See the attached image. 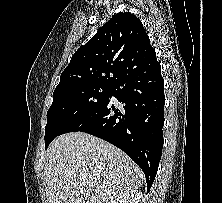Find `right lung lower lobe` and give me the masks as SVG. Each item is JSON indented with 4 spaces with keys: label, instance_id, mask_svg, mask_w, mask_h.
Instances as JSON below:
<instances>
[{
    "label": "right lung lower lobe",
    "instance_id": "1",
    "mask_svg": "<svg viewBox=\"0 0 222 203\" xmlns=\"http://www.w3.org/2000/svg\"><path fill=\"white\" fill-rule=\"evenodd\" d=\"M112 96L118 105L110 101ZM164 104V80L155 59L122 76L105 103L61 134L86 132L117 146L143 170L149 191L162 154Z\"/></svg>",
    "mask_w": 222,
    "mask_h": 203
}]
</instances>
